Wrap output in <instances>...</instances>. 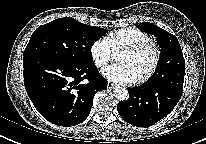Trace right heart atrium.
<instances>
[{
  "instance_id": "obj_1",
  "label": "right heart atrium",
  "mask_w": 206,
  "mask_h": 144,
  "mask_svg": "<svg viewBox=\"0 0 206 144\" xmlns=\"http://www.w3.org/2000/svg\"><path fill=\"white\" fill-rule=\"evenodd\" d=\"M89 51L95 66L99 69H103L114 56V52L106 37L93 41Z\"/></svg>"
}]
</instances>
